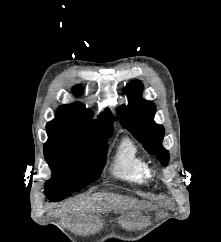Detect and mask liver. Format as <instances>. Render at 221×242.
Here are the masks:
<instances>
[{
    "label": "liver",
    "instance_id": "liver-1",
    "mask_svg": "<svg viewBox=\"0 0 221 242\" xmlns=\"http://www.w3.org/2000/svg\"><path fill=\"white\" fill-rule=\"evenodd\" d=\"M136 201L130 198H124L120 195L108 194V193H97L92 196L86 197L85 199L68 203L62 207L59 211L61 214H78L84 218L89 214L91 218L93 214L98 211L108 210L110 208L121 209L129 205H135ZM91 229L89 224H84L80 231L87 233Z\"/></svg>",
    "mask_w": 221,
    "mask_h": 242
}]
</instances>
